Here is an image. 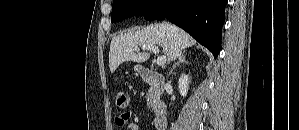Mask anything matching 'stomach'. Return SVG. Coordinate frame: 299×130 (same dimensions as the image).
<instances>
[{
  "mask_svg": "<svg viewBox=\"0 0 299 130\" xmlns=\"http://www.w3.org/2000/svg\"><path fill=\"white\" fill-rule=\"evenodd\" d=\"M133 69H134V71L139 72V71L141 70V66H140V65H135V66L133 67Z\"/></svg>",
  "mask_w": 299,
  "mask_h": 130,
  "instance_id": "0dacf381",
  "label": "stomach"
}]
</instances>
